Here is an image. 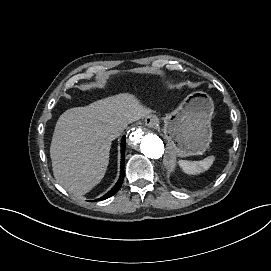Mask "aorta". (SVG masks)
Returning <instances> with one entry per match:
<instances>
[{"instance_id": "762f6f07", "label": "aorta", "mask_w": 271, "mask_h": 271, "mask_svg": "<svg viewBox=\"0 0 271 271\" xmlns=\"http://www.w3.org/2000/svg\"><path fill=\"white\" fill-rule=\"evenodd\" d=\"M127 142L129 147L140 151L144 156L151 159H159L167 155V148L163 141L156 134L148 132L143 127H134L128 134ZM166 152V154L164 153ZM174 153L168 157V166L173 165Z\"/></svg>"}]
</instances>
